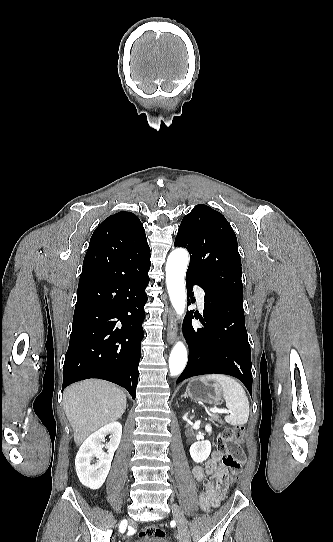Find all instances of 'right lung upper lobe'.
<instances>
[{"label": "right lung upper lobe", "mask_w": 333, "mask_h": 542, "mask_svg": "<svg viewBox=\"0 0 333 542\" xmlns=\"http://www.w3.org/2000/svg\"><path fill=\"white\" fill-rule=\"evenodd\" d=\"M128 246L148 244L139 218L131 212L121 211L109 216L95 229L87 251L107 252ZM88 275L91 273L82 270L81 277Z\"/></svg>", "instance_id": "right-lung-upper-lobe-1"}]
</instances>
